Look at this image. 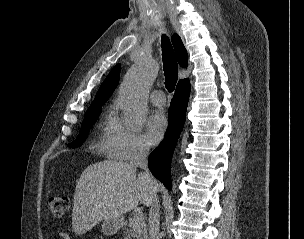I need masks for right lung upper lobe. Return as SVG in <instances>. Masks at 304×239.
<instances>
[{"label": "right lung upper lobe", "mask_w": 304, "mask_h": 239, "mask_svg": "<svg viewBox=\"0 0 304 239\" xmlns=\"http://www.w3.org/2000/svg\"><path fill=\"white\" fill-rule=\"evenodd\" d=\"M172 42L174 45L175 53L179 65L182 67H187V52L186 49L178 35L172 36ZM120 76V64H117L108 74L102 85L100 86L94 101L89 108L101 107L112 95L114 89L116 88ZM181 81V80H180Z\"/></svg>", "instance_id": "obj_1"}]
</instances>
